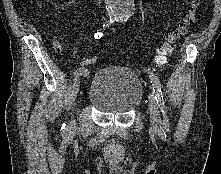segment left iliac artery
Here are the masks:
<instances>
[{
    "label": "left iliac artery",
    "instance_id": "44dca946",
    "mask_svg": "<svg viewBox=\"0 0 221 174\" xmlns=\"http://www.w3.org/2000/svg\"><path fill=\"white\" fill-rule=\"evenodd\" d=\"M150 79H151V83L153 86V91L155 94V99L157 101V104L160 108V111L163 115V123L165 125H168V118L166 116V106H165V101L163 98V93L161 90V83L159 81V78L152 72L149 73Z\"/></svg>",
    "mask_w": 221,
    "mask_h": 174
}]
</instances>
